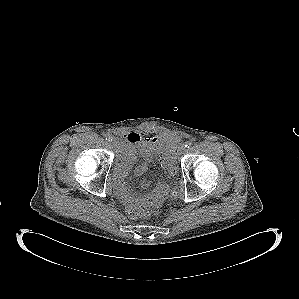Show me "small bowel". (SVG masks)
Returning a JSON list of instances; mask_svg holds the SVG:
<instances>
[{"label":"small bowel","instance_id":"1","mask_svg":"<svg viewBox=\"0 0 299 299\" xmlns=\"http://www.w3.org/2000/svg\"><path fill=\"white\" fill-rule=\"evenodd\" d=\"M122 139L124 145L119 155L118 178L120 192L125 199L131 200L133 198V194L127 186L126 177L138 154L143 161L135 167L136 175H142L148 170L154 156L159 157V163L167 171L169 178L175 175L171 170L172 166L176 165L174 147L178 138L175 135L147 136L138 132H127L122 135ZM141 186L146 188L148 183L142 182ZM168 188L167 182H159L149 195V200L156 203L161 202L165 198Z\"/></svg>","mask_w":299,"mask_h":299}]
</instances>
